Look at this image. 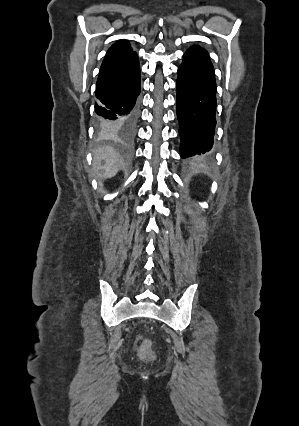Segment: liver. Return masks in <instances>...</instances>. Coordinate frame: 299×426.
Segmentation results:
<instances>
[{
    "mask_svg": "<svg viewBox=\"0 0 299 426\" xmlns=\"http://www.w3.org/2000/svg\"><path fill=\"white\" fill-rule=\"evenodd\" d=\"M95 154L97 155L98 161H104V165H96L95 171L96 175L101 178H111L117 174L119 169L122 166V160L120 159L118 153L108 146H103L96 150ZM102 173H99V171Z\"/></svg>",
    "mask_w": 299,
    "mask_h": 426,
    "instance_id": "1",
    "label": "liver"
}]
</instances>
